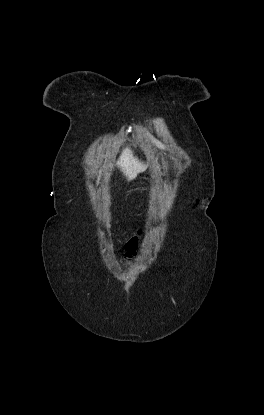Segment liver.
<instances>
[{
	"instance_id": "obj_1",
	"label": "liver",
	"mask_w": 264,
	"mask_h": 415,
	"mask_svg": "<svg viewBox=\"0 0 264 415\" xmlns=\"http://www.w3.org/2000/svg\"><path fill=\"white\" fill-rule=\"evenodd\" d=\"M117 165L129 181L135 179L139 173L146 169V165L134 157L129 148L123 150Z\"/></svg>"
}]
</instances>
